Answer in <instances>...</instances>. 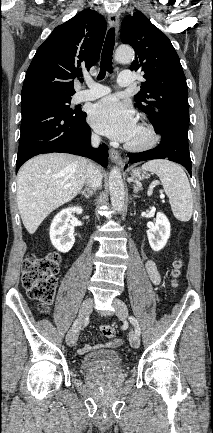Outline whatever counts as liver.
Instances as JSON below:
<instances>
[{
	"label": "liver",
	"mask_w": 213,
	"mask_h": 433,
	"mask_svg": "<svg viewBox=\"0 0 213 433\" xmlns=\"http://www.w3.org/2000/svg\"><path fill=\"white\" fill-rule=\"evenodd\" d=\"M89 161L66 153H49L27 161L17 176V205L22 222L34 234L56 208L82 190Z\"/></svg>",
	"instance_id": "liver-1"
}]
</instances>
